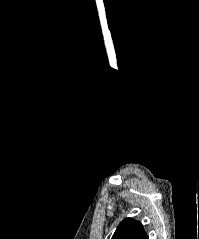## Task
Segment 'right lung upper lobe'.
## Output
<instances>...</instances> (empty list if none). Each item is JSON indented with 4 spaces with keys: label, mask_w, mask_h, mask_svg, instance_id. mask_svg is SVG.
I'll return each mask as SVG.
<instances>
[{
    "label": "right lung upper lobe",
    "mask_w": 199,
    "mask_h": 239,
    "mask_svg": "<svg viewBox=\"0 0 199 239\" xmlns=\"http://www.w3.org/2000/svg\"><path fill=\"white\" fill-rule=\"evenodd\" d=\"M112 239H147V234L140 222L126 218L119 224Z\"/></svg>",
    "instance_id": "1"
}]
</instances>
